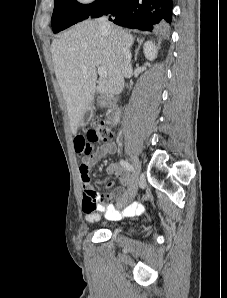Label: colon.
I'll return each instance as SVG.
<instances>
[{"label":"colon","instance_id":"1","mask_svg":"<svg viewBox=\"0 0 227 298\" xmlns=\"http://www.w3.org/2000/svg\"><path fill=\"white\" fill-rule=\"evenodd\" d=\"M86 134H87V139H85V142L107 143V142H111L113 139V134H112L110 127L103 121H95L87 129Z\"/></svg>","mask_w":227,"mask_h":298}]
</instances>
